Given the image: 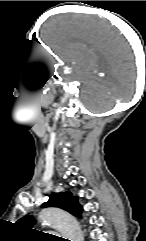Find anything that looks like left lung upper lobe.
Wrapping results in <instances>:
<instances>
[{
    "instance_id": "left-lung-upper-lobe-1",
    "label": "left lung upper lobe",
    "mask_w": 146,
    "mask_h": 241,
    "mask_svg": "<svg viewBox=\"0 0 146 241\" xmlns=\"http://www.w3.org/2000/svg\"><path fill=\"white\" fill-rule=\"evenodd\" d=\"M42 207H58L69 213L80 216L82 208L78 204V198L74 197L70 192H60L51 194L48 201L42 204ZM21 225L27 229H31L35 220L31 216H25L20 220Z\"/></svg>"
}]
</instances>
